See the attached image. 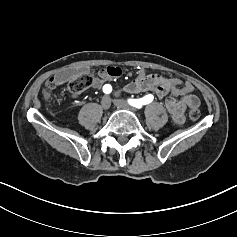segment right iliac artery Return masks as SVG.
Masks as SVG:
<instances>
[{"instance_id":"obj_1","label":"right iliac artery","mask_w":237,"mask_h":237,"mask_svg":"<svg viewBox=\"0 0 237 237\" xmlns=\"http://www.w3.org/2000/svg\"><path fill=\"white\" fill-rule=\"evenodd\" d=\"M111 91H112L111 85L106 84V85L103 86V92L104 93L109 94V93H111Z\"/></svg>"}]
</instances>
